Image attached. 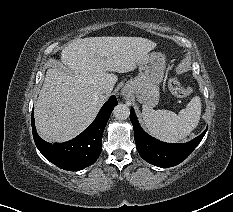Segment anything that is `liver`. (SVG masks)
Returning a JSON list of instances; mask_svg holds the SVG:
<instances>
[{
	"label": "liver",
	"mask_w": 233,
	"mask_h": 212,
	"mask_svg": "<svg viewBox=\"0 0 233 212\" xmlns=\"http://www.w3.org/2000/svg\"><path fill=\"white\" fill-rule=\"evenodd\" d=\"M156 47L142 37H89L73 40L61 53V68H50L35 106L38 134L48 142H65L81 133L95 118L118 77L133 71Z\"/></svg>",
	"instance_id": "obj_1"
}]
</instances>
